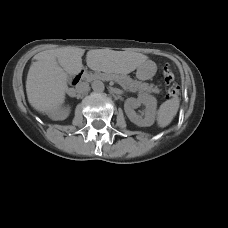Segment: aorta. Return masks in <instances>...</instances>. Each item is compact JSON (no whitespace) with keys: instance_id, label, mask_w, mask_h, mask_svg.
I'll use <instances>...</instances> for the list:
<instances>
[{"instance_id":"aorta-1","label":"aorta","mask_w":228,"mask_h":228,"mask_svg":"<svg viewBox=\"0 0 228 228\" xmlns=\"http://www.w3.org/2000/svg\"><path fill=\"white\" fill-rule=\"evenodd\" d=\"M92 89L96 93H102L105 90L104 83L101 81H95L92 83Z\"/></svg>"}]
</instances>
